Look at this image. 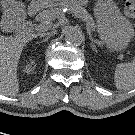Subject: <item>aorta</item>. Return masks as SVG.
<instances>
[{"mask_svg":"<svg viewBox=\"0 0 135 135\" xmlns=\"http://www.w3.org/2000/svg\"><path fill=\"white\" fill-rule=\"evenodd\" d=\"M64 35H65V41L68 44L74 46L81 45L84 40L83 32L79 28L74 26H68L64 31Z\"/></svg>","mask_w":135,"mask_h":135,"instance_id":"obj_1","label":"aorta"}]
</instances>
